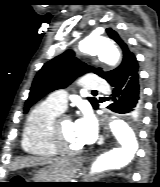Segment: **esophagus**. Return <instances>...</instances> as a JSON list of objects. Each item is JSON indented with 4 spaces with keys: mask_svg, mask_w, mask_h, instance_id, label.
Listing matches in <instances>:
<instances>
[{
    "mask_svg": "<svg viewBox=\"0 0 160 187\" xmlns=\"http://www.w3.org/2000/svg\"><path fill=\"white\" fill-rule=\"evenodd\" d=\"M79 159H80L81 161H85V160H86L85 157H80Z\"/></svg>",
    "mask_w": 160,
    "mask_h": 187,
    "instance_id": "esophagus-1",
    "label": "esophagus"
}]
</instances>
